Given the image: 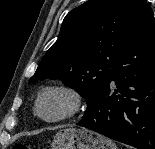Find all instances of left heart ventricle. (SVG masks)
<instances>
[{
    "mask_svg": "<svg viewBox=\"0 0 155 149\" xmlns=\"http://www.w3.org/2000/svg\"><path fill=\"white\" fill-rule=\"evenodd\" d=\"M68 100L61 94H49L45 96L40 104L41 113L48 118L57 117L66 112Z\"/></svg>",
    "mask_w": 155,
    "mask_h": 149,
    "instance_id": "obj_1",
    "label": "left heart ventricle"
}]
</instances>
